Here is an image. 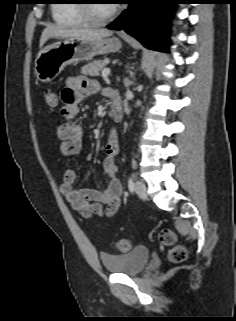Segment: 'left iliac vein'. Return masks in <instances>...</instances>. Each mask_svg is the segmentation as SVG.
I'll use <instances>...</instances> for the list:
<instances>
[{
  "label": "left iliac vein",
  "instance_id": "4c4485c4",
  "mask_svg": "<svg viewBox=\"0 0 236 321\" xmlns=\"http://www.w3.org/2000/svg\"><path fill=\"white\" fill-rule=\"evenodd\" d=\"M135 191L139 198H141L142 200H145L147 198L146 186L139 180H137L135 183Z\"/></svg>",
  "mask_w": 236,
  "mask_h": 321
}]
</instances>
